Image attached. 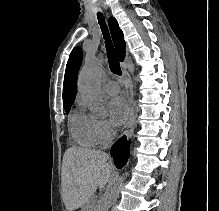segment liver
<instances>
[{
  "instance_id": "obj_1",
  "label": "liver",
  "mask_w": 219,
  "mask_h": 211,
  "mask_svg": "<svg viewBox=\"0 0 219 211\" xmlns=\"http://www.w3.org/2000/svg\"><path fill=\"white\" fill-rule=\"evenodd\" d=\"M112 161L107 153L68 147L62 165L64 203L68 211L83 207L99 187L111 179Z\"/></svg>"
}]
</instances>
